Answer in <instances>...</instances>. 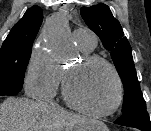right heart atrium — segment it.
Segmentation results:
<instances>
[{
    "label": "right heart atrium",
    "mask_w": 151,
    "mask_h": 131,
    "mask_svg": "<svg viewBox=\"0 0 151 131\" xmlns=\"http://www.w3.org/2000/svg\"><path fill=\"white\" fill-rule=\"evenodd\" d=\"M62 69L46 50L35 48L28 61L25 74V90L36 99H48L55 95L62 80Z\"/></svg>",
    "instance_id": "obj_1"
}]
</instances>
